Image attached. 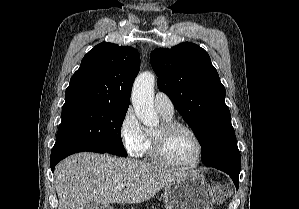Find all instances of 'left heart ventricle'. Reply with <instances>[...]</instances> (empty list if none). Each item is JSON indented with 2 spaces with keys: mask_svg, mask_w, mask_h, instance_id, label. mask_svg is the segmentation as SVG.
Here are the masks:
<instances>
[{
  "mask_svg": "<svg viewBox=\"0 0 299 209\" xmlns=\"http://www.w3.org/2000/svg\"><path fill=\"white\" fill-rule=\"evenodd\" d=\"M160 126L153 133H158ZM197 144L194 138L184 130L171 133L166 144V155L174 163L190 164L197 156Z\"/></svg>",
  "mask_w": 299,
  "mask_h": 209,
  "instance_id": "left-heart-ventricle-1",
  "label": "left heart ventricle"
}]
</instances>
